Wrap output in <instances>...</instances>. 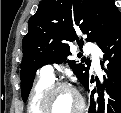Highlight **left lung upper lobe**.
Masks as SVG:
<instances>
[{
	"mask_svg": "<svg viewBox=\"0 0 121 113\" xmlns=\"http://www.w3.org/2000/svg\"><path fill=\"white\" fill-rule=\"evenodd\" d=\"M120 17L114 0H43L29 19V31L22 41L23 100L28 98L37 69L45 64L63 63L71 55L69 43L78 41V30L87 34L86 41L96 42L99 46L109 37ZM67 62L85 86L91 61Z\"/></svg>",
	"mask_w": 121,
	"mask_h": 113,
	"instance_id": "obj_1",
	"label": "left lung upper lobe"
}]
</instances>
